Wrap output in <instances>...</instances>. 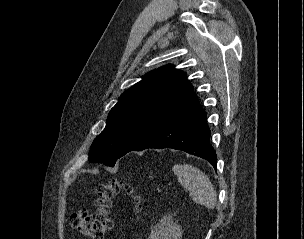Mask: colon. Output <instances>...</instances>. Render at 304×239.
I'll list each match as a JSON object with an SVG mask.
<instances>
[{
    "mask_svg": "<svg viewBox=\"0 0 304 239\" xmlns=\"http://www.w3.org/2000/svg\"><path fill=\"white\" fill-rule=\"evenodd\" d=\"M97 198L94 202L95 216L85 208L79 209L70 215L71 226L82 236L90 239H105L107 232L112 228L111 208L113 199L121 191L133 196L135 211L139 215L143 210V199L135 193L134 188L125 181L112 179L97 187Z\"/></svg>",
    "mask_w": 304,
    "mask_h": 239,
    "instance_id": "obj_1",
    "label": "colon"
}]
</instances>
